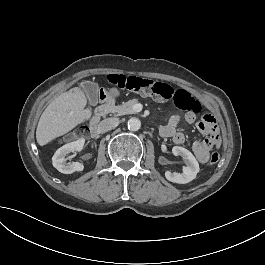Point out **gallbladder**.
Wrapping results in <instances>:
<instances>
[{"instance_id":"gallbladder-1","label":"gallbladder","mask_w":265,"mask_h":265,"mask_svg":"<svg viewBox=\"0 0 265 265\" xmlns=\"http://www.w3.org/2000/svg\"><path fill=\"white\" fill-rule=\"evenodd\" d=\"M80 88L85 90L87 96L90 98V102L93 105H96L98 102L97 100L98 85L91 82H81Z\"/></svg>"}]
</instances>
